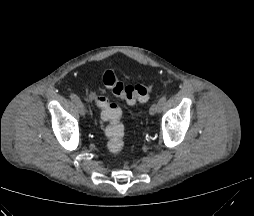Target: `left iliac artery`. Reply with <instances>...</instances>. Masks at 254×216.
Listing matches in <instances>:
<instances>
[{
    "label": "left iliac artery",
    "instance_id": "left-iliac-artery-1",
    "mask_svg": "<svg viewBox=\"0 0 254 216\" xmlns=\"http://www.w3.org/2000/svg\"><path fill=\"white\" fill-rule=\"evenodd\" d=\"M166 100H167V96H166V95L162 96V97L158 100V105H159V110H158V111H160V110L163 108V106H164L165 103H166Z\"/></svg>",
    "mask_w": 254,
    "mask_h": 216
}]
</instances>
